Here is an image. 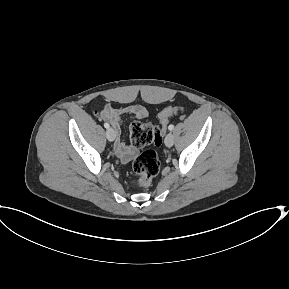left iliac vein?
I'll list each match as a JSON object with an SVG mask.
<instances>
[{"label":"left iliac vein","mask_w":289,"mask_h":289,"mask_svg":"<svg viewBox=\"0 0 289 289\" xmlns=\"http://www.w3.org/2000/svg\"><path fill=\"white\" fill-rule=\"evenodd\" d=\"M174 144V136L172 133H168L165 137V145L171 147Z\"/></svg>","instance_id":"4c4485c4"}]
</instances>
